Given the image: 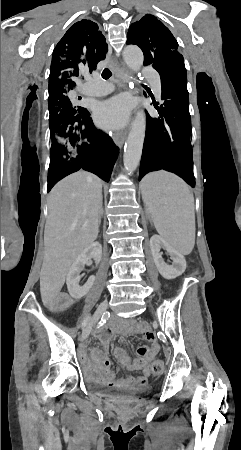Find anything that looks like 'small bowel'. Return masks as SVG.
Here are the masks:
<instances>
[{
  "label": "small bowel",
  "instance_id": "1",
  "mask_svg": "<svg viewBox=\"0 0 241 450\" xmlns=\"http://www.w3.org/2000/svg\"><path fill=\"white\" fill-rule=\"evenodd\" d=\"M52 310L57 312L58 308H66V301H57ZM131 333L142 336L149 345H142L136 349V358L131 359L127 351L122 347L113 349L115 360L127 370H140L139 376L117 377L111 369L109 358V346L111 339L118 335L121 338ZM93 335L102 345V349L94 348L91 356L84 358V369L88 370L90 380L96 384L109 388H122L128 386H146L151 376L150 364L155 360L160 351V344L150 327L136 320H121L109 326L94 330Z\"/></svg>",
  "mask_w": 241,
  "mask_h": 450
}]
</instances>
